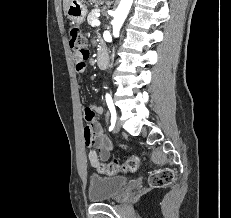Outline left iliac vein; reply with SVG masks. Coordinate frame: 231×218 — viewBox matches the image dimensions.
<instances>
[{
  "instance_id": "left-iliac-vein-1",
  "label": "left iliac vein",
  "mask_w": 231,
  "mask_h": 218,
  "mask_svg": "<svg viewBox=\"0 0 231 218\" xmlns=\"http://www.w3.org/2000/svg\"><path fill=\"white\" fill-rule=\"evenodd\" d=\"M120 129H121V122L120 120H117L114 124L113 131L117 133L120 131Z\"/></svg>"
}]
</instances>
